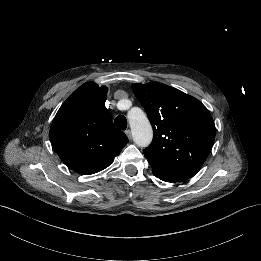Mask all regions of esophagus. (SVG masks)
<instances>
[{"label":"esophagus","instance_id":"esophagus-1","mask_svg":"<svg viewBox=\"0 0 261 261\" xmlns=\"http://www.w3.org/2000/svg\"><path fill=\"white\" fill-rule=\"evenodd\" d=\"M125 134H126V136L128 137L129 140L132 139V133H131V130H129V129L126 130V131H125Z\"/></svg>","mask_w":261,"mask_h":261}]
</instances>
